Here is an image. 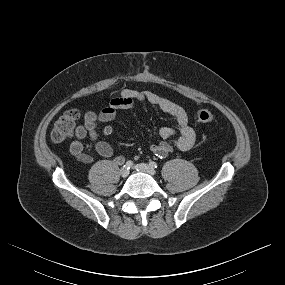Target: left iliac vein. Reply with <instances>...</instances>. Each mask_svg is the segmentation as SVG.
<instances>
[{"mask_svg": "<svg viewBox=\"0 0 285 285\" xmlns=\"http://www.w3.org/2000/svg\"><path fill=\"white\" fill-rule=\"evenodd\" d=\"M135 169H137L138 171L147 173L149 175L154 176L156 174V171L153 167L149 166L148 164L145 163H140L137 164L136 166H134Z\"/></svg>", "mask_w": 285, "mask_h": 285, "instance_id": "1", "label": "left iliac vein"}]
</instances>
